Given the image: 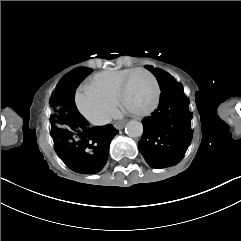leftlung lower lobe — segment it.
<instances>
[{
	"mask_svg": "<svg viewBox=\"0 0 241 241\" xmlns=\"http://www.w3.org/2000/svg\"><path fill=\"white\" fill-rule=\"evenodd\" d=\"M191 113L182 86L174 84L162 90L158 108L143 121L138 147L148 165L165 168L179 162L191 139Z\"/></svg>",
	"mask_w": 241,
	"mask_h": 241,
	"instance_id": "1",
	"label": "left lung lower lobe"
}]
</instances>
